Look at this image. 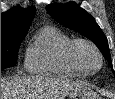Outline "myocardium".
I'll use <instances>...</instances> for the list:
<instances>
[{
    "mask_svg": "<svg viewBox=\"0 0 115 99\" xmlns=\"http://www.w3.org/2000/svg\"><path fill=\"white\" fill-rule=\"evenodd\" d=\"M81 46H87L91 48L98 56L99 66L96 70L90 71L82 64L78 54V50ZM67 55L72 65L84 75H94L98 73L101 70L104 62L103 55L99 48L93 42L87 39H73L68 47Z\"/></svg>",
    "mask_w": 115,
    "mask_h": 99,
    "instance_id": "myocardium-1",
    "label": "myocardium"
}]
</instances>
